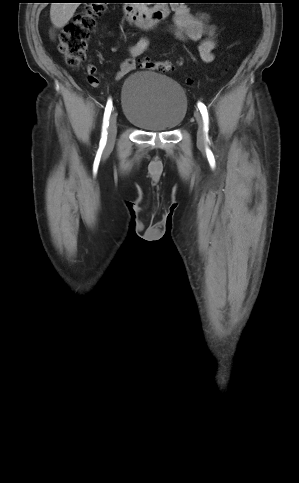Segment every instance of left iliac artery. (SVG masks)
I'll list each match as a JSON object with an SVG mask.
<instances>
[{"instance_id": "obj_1", "label": "left iliac artery", "mask_w": 299, "mask_h": 483, "mask_svg": "<svg viewBox=\"0 0 299 483\" xmlns=\"http://www.w3.org/2000/svg\"><path fill=\"white\" fill-rule=\"evenodd\" d=\"M198 108H199V110L202 114L203 120H204V130H205V132H207L208 131V123H209L207 108L201 102L198 103Z\"/></svg>"}]
</instances>
